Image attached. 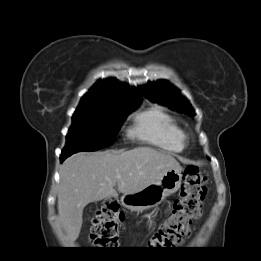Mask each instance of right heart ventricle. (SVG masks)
<instances>
[{
	"label": "right heart ventricle",
	"instance_id": "1",
	"mask_svg": "<svg viewBox=\"0 0 261 261\" xmlns=\"http://www.w3.org/2000/svg\"><path fill=\"white\" fill-rule=\"evenodd\" d=\"M132 135L163 150L181 152L185 134L174 117L158 106L134 115Z\"/></svg>",
	"mask_w": 261,
	"mask_h": 261
}]
</instances>
